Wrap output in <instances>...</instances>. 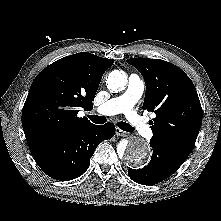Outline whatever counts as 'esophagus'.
I'll return each mask as SVG.
<instances>
[{
	"mask_svg": "<svg viewBox=\"0 0 221 221\" xmlns=\"http://www.w3.org/2000/svg\"><path fill=\"white\" fill-rule=\"evenodd\" d=\"M115 133H116L117 136H121V137L126 136V132L119 129V128H116Z\"/></svg>",
	"mask_w": 221,
	"mask_h": 221,
	"instance_id": "34e87169",
	"label": "esophagus"
}]
</instances>
